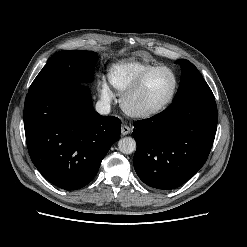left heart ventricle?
<instances>
[{
	"mask_svg": "<svg viewBox=\"0 0 247 247\" xmlns=\"http://www.w3.org/2000/svg\"><path fill=\"white\" fill-rule=\"evenodd\" d=\"M173 89V77L165 70L150 74L133 99L137 108H153L162 104Z\"/></svg>",
	"mask_w": 247,
	"mask_h": 247,
	"instance_id": "obj_1",
	"label": "left heart ventricle"
}]
</instances>
